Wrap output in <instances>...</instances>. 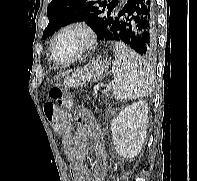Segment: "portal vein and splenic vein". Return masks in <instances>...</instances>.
Instances as JSON below:
<instances>
[{
  "mask_svg": "<svg viewBox=\"0 0 197 181\" xmlns=\"http://www.w3.org/2000/svg\"><path fill=\"white\" fill-rule=\"evenodd\" d=\"M111 89V86H107L106 90H104V92H107Z\"/></svg>",
  "mask_w": 197,
  "mask_h": 181,
  "instance_id": "1",
  "label": "portal vein and splenic vein"
}]
</instances>
